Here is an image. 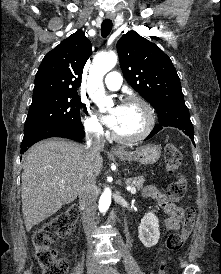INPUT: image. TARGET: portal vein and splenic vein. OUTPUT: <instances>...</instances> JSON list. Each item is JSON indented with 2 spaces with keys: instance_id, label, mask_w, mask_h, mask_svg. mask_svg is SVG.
<instances>
[{
  "instance_id": "1",
  "label": "portal vein and splenic vein",
  "mask_w": 221,
  "mask_h": 274,
  "mask_svg": "<svg viewBox=\"0 0 221 274\" xmlns=\"http://www.w3.org/2000/svg\"><path fill=\"white\" fill-rule=\"evenodd\" d=\"M128 190H130L131 194H135L136 193L135 187H128Z\"/></svg>"
}]
</instances>
